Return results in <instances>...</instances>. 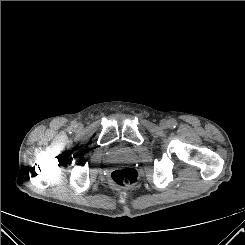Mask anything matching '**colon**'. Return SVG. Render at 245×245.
<instances>
[{
  "label": "colon",
  "mask_w": 245,
  "mask_h": 245,
  "mask_svg": "<svg viewBox=\"0 0 245 245\" xmlns=\"http://www.w3.org/2000/svg\"><path fill=\"white\" fill-rule=\"evenodd\" d=\"M138 174L132 167H122L111 172L113 183L119 187H132L137 183Z\"/></svg>",
  "instance_id": "5ec220e1"
}]
</instances>
